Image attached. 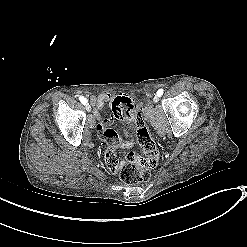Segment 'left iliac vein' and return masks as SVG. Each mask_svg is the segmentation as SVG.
I'll use <instances>...</instances> for the list:
<instances>
[{
    "mask_svg": "<svg viewBox=\"0 0 247 247\" xmlns=\"http://www.w3.org/2000/svg\"><path fill=\"white\" fill-rule=\"evenodd\" d=\"M153 101H154V103H158V101H159V96H158V95H155V97L153 98Z\"/></svg>",
    "mask_w": 247,
    "mask_h": 247,
    "instance_id": "4c4485c4",
    "label": "left iliac vein"
}]
</instances>
